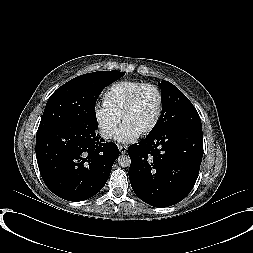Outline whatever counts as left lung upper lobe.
<instances>
[{
    "instance_id": "obj_1",
    "label": "left lung upper lobe",
    "mask_w": 253,
    "mask_h": 253,
    "mask_svg": "<svg viewBox=\"0 0 253 253\" xmlns=\"http://www.w3.org/2000/svg\"><path fill=\"white\" fill-rule=\"evenodd\" d=\"M159 86L161 88L162 112L149 134H157L180 127L202 128L195 107L178 88L165 80H162Z\"/></svg>"
}]
</instances>
